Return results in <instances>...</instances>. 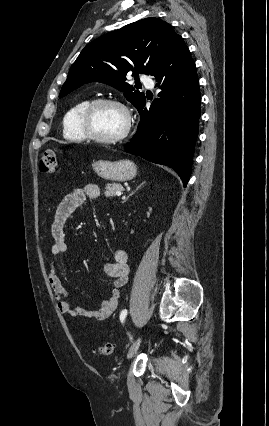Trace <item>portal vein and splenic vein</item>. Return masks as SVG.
<instances>
[{"mask_svg": "<svg viewBox=\"0 0 269 426\" xmlns=\"http://www.w3.org/2000/svg\"><path fill=\"white\" fill-rule=\"evenodd\" d=\"M116 195H117V196H121V195H122V192H121V191H117V192H116Z\"/></svg>", "mask_w": 269, "mask_h": 426, "instance_id": "portal-vein-and-splenic-vein-1", "label": "portal vein and splenic vein"}]
</instances>
